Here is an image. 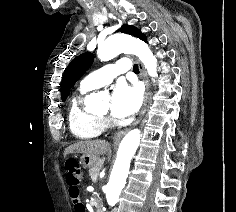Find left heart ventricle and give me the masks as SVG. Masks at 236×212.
<instances>
[{
	"label": "left heart ventricle",
	"instance_id": "obj_1",
	"mask_svg": "<svg viewBox=\"0 0 236 212\" xmlns=\"http://www.w3.org/2000/svg\"><path fill=\"white\" fill-rule=\"evenodd\" d=\"M109 108H110V101H108V102L106 103V106H105V109H104V111H103V114H106V113L109 111Z\"/></svg>",
	"mask_w": 236,
	"mask_h": 212
}]
</instances>
